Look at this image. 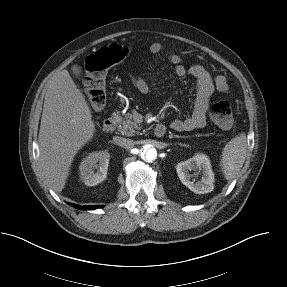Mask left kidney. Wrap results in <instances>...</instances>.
<instances>
[{
    "label": "left kidney",
    "instance_id": "left-kidney-1",
    "mask_svg": "<svg viewBox=\"0 0 287 287\" xmlns=\"http://www.w3.org/2000/svg\"><path fill=\"white\" fill-rule=\"evenodd\" d=\"M202 171L200 181H192L189 171ZM177 174L181 182L196 194H205L214 189V173L211 169L209 158L203 153H197L192 158L180 162L176 166ZM197 172V174H198Z\"/></svg>",
    "mask_w": 287,
    "mask_h": 287
}]
</instances>
